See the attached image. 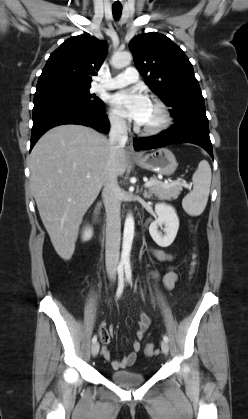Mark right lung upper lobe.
<instances>
[{
  "label": "right lung upper lobe",
  "mask_w": 248,
  "mask_h": 419,
  "mask_svg": "<svg viewBox=\"0 0 248 419\" xmlns=\"http://www.w3.org/2000/svg\"><path fill=\"white\" fill-rule=\"evenodd\" d=\"M107 54L106 43L88 33L64 41L49 57L36 93L63 88H90L92 76Z\"/></svg>",
  "instance_id": "right-lung-upper-lobe-1"
}]
</instances>
